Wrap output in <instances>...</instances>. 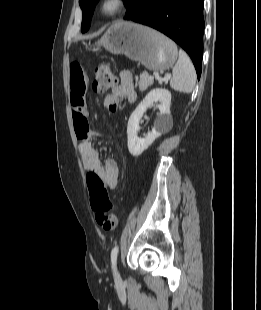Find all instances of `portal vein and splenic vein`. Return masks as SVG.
I'll list each match as a JSON object with an SVG mask.
<instances>
[{
  "mask_svg": "<svg viewBox=\"0 0 261 310\" xmlns=\"http://www.w3.org/2000/svg\"><path fill=\"white\" fill-rule=\"evenodd\" d=\"M153 77H155V78H157V79L160 78L159 74H157V73H154V74H153ZM168 78H169V77H167L166 79H168Z\"/></svg>",
  "mask_w": 261,
  "mask_h": 310,
  "instance_id": "obj_1",
  "label": "portal vein and splenic vein"
}]
</instances>
